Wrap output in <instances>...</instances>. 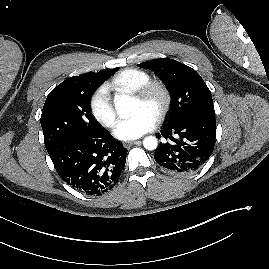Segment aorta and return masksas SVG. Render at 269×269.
<instances>
[{"mask_svg":"<svg viewBox=\"0 0 269 269\" xmlns=\"http://www.w3.org/2000/svg\"><path fill=\"white\" fill-rule=\"evenodd\" d=\"M114 105L117 114L127 119L135 108V100L129 95H117L114 98ZM143 146L147 150H154L158 146V141L155 136H148L143 140Z\"/></svg>","mask_w":269,"mask_h":269,"instance_id":"762f6f07","label":"aorta"}]
</instances>
